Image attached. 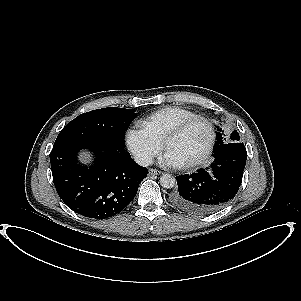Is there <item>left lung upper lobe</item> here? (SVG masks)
<instances>
[{"instance_id": "5c2ea615", "label": "left lung upper lobe", "mask_w": 301, "mask_h": 301, "mask_svg": "<svg viewBox=\"0 0 301 301\" xmlns=\"http://www.w3.org/2000/svg\"><path fill=\"white\" fill-rule=\"evenodd\" d=\"M218 131L219 132L217 134V143H216L214 152L217 151V150H219V149H221V148H223L226 145V140L223 137V134L220 133V129H218ZM239 141H240V136H239L238 132L235 130L231 134V142L234 143V142H239Z\"/></svg>"}]
</instances>
